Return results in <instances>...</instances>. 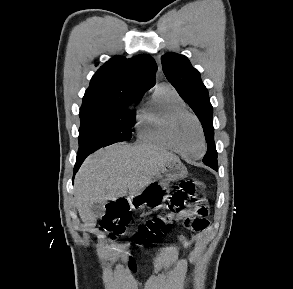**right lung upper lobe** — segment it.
<instances>
[{"label":"right lung upper lobe","mask_w":293,"mask_h":289,"mask_svg":"<svg viewBox=\"0 0 293 289\" xmlns=\"http://www.w3.org/2000/svg\"><path fill=\"white\" fill-rule=\"evenodd\" d=\"M156 71V62L149 55L130 59L117 56L102 65L93 75L83 104L126 97L140 98L155 85Z\"/></svg>","instance_id":"1"}]
</instances>
